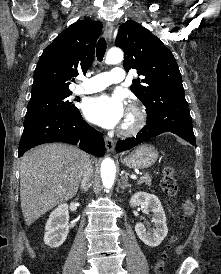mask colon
Masks as SVG:
<instances>
[{
    "label": "colon",
    "mask_w": 221,
    "mask_h": 274,
    "mask_svg": "<svg viewBox=\"0 0 221 274\" xmlns=\"http://www.w3.org/2000/svg\"><path fill=\"white\" fill-rule=\"evenodd\" d=\"M161 188L163 192L168 196H174L177 192V181L174 175V169L172 167H166L163 171V177L161 180ZM182 218L188 220L194 213V204L191 200L186 199L182 202ZM165 261L161 260L156 266L157 274H162L164 271Z\"/></svg>",
    "instance_id": "colon-1"
}]
</instances>
